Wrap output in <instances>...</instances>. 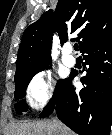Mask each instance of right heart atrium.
Segmentation results:
<instances>
[{
	"instance_id": "right-heart-atrium-1",
	"label": "right heart atrium",
	"mask_w": 112,
	"mask_h": 135,
	"mask_svg": "<svg viewBox=\"0 0 112 135\" xmlns=\"http://www.w3.org/2000/svg\"><path fill=\"white\" fill-rule=\"evenodd\" d=\"M53 92L51 76L48 73L39 72L29 81L25 96L30 107L40 109L52 99Z\"/></svg>"
}]
</instances>
